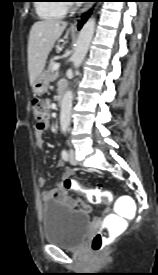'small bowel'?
I'll use <instances>...</instances> for the list:
<instances>
[{
  "instance_id": "c3829d8e",
  "label": "small bowel",
  "mask_w": 158,
  "mask_h": 275,
  "mask_svg": "<svg viewBox=\"0 0 158 275\" xmlns=\"http://www.w3.org/2000/svg\"><path fill=\"white\" fill-rule=\"evenodd\" d=\"M62 87H66L64 83H61L59 85V89ZM43 132L35 129V138H36V145L39 148H44L45 142L43 139ZM57 165L59 167L64 165L63 160H59ZM71 176V170L67 169L63 174V181L56 184V186L52 189H45L42 191V200L44 203H51V202H60L64 204L65 206L72 208V209H78L83 212H89L91 210L90 206L84 202L80 198H73L69 196L68 191L64 187V179ZM39 184L41 186L45 185L47 183V179L45 177L39 178Z\"/></svg>"
}]
</instances>
